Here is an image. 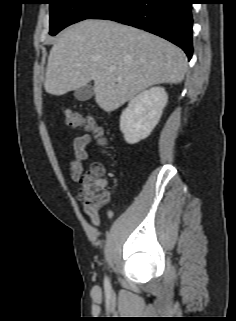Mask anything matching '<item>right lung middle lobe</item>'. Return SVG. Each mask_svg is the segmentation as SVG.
I'll return each mask as SVG.
<instances>
[{"instance_id":"dd1d6c3e","label":"right lung middle lobe","mask_w":236,"mask_h":321,"mask_svg":"<svg viewBox=\"0 0 236 321\" xmlns=\"http://www.w3.org/2000/svg\"><path fill=\"white\" fill-rule=\"evenodd\" d=\"M110 0H48L50 4V34L56 35L63 28L89 18Z\"/></svg>"}]
</instances>
